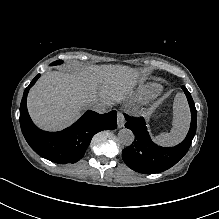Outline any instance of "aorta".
<instances>
[{
    "label": "aorta",
    "instance_id": "aorta-1",
    "mask_svg": "<svg viewBox=\"0 0 219 219\" xmlns=\"http://www.w3.org/2000/svg\"><path fill=\"white\" fill-rule=\"evenodd\" d=\"M118 141L124 146H130L134 142V134L130 129L123 128L118 132Z\"/></svg>",
    "mask_w": 219,
    "mask_h": 219
}]
</instances>
